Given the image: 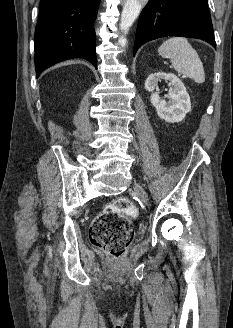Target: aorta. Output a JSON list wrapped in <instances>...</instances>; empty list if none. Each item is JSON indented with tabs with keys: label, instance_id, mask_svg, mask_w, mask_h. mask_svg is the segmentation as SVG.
I'll list each match as a JSON object with an SVG mask.
<instances>
[{
	"label": "aorta",
	"instance_id": "1",
	"mask_svg": "<svg viewBox=\"0 0 233 328\" xmlns=\"http://www.w3.org/2000/svg\"><path fill=\"white\" fill-rule=\"evenodd\" d=\"M147 2L148 0H126L120 21V28L125 34L128 32L129 28L137 18L140 10ZM118 43L124 47L127 43V40L124 37H120Z\"/></svg>",
	"mask_w": 233,
	"mask_h": 328
}]
</instances>
